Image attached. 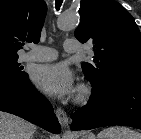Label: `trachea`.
I'll return each mask as SVG.
<instances>
[{
  "label": "trachea",
  "mask_w": 141,
  "mask_h": 139,
  "mask_svg": "<svg viewBox=\"0 0 141 139\" xmlns=\"http://www.w3.org/2000/svg\"><path fill=\"white\" fill-rule=\"evenodd\" d=\"M62 3H63V0H55L56 10L60 9Z\"/></svg>",
  "instance_id": "3493384b"
}]
</instances>
